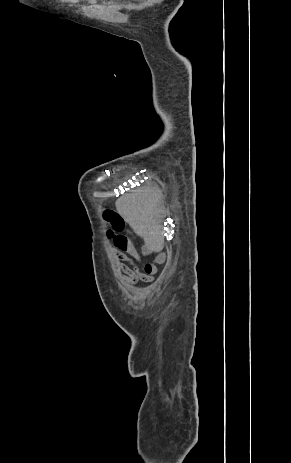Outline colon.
Segmentation results:
<instances>
[{
	"label": "colon",
	"instance_id": "colon-1",
	"mask_svg": "<svg viewBox=\"0 0 291 463\" xmlns=\"http://www.w3.org/2000/svg\"><path fill=\"white\" fill-rule=\"evenodd\" d=\"M103 217L110 224L111 227L109 232L105 231L103 233V236L105 238H108L109 236L129 235L131 233L130 229L127 227L122 217L114 211L106 209L103 212ZM151 268L152 267L150 265L147 266V270H151Z\"/></svg>",
	"mask_w": 291,
	"mask_h": 463
}]
</instances>
